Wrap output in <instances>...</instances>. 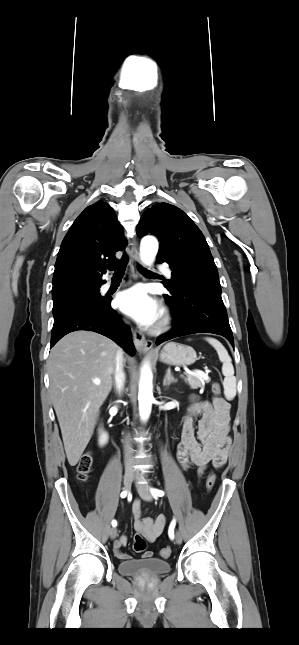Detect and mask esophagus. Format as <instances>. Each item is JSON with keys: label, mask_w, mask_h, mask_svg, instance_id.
I'll return each instance as SVG.
<instances>
[{"label": "esophagus", "mask_w": 299, "mask_h": 645, "mask_svg": "<svg viewBox=\"0 0 299 645\" xmlns=\"http://www.w3.org/2000/svg\"><path fill=\"white\" fill-rule=\"evenodd\" d=\"M139 264H140V258H139V252H138V245H137L136 239H133L132 242H131V261H130V265H131V270H132V273H133L134 277H138ZM133 337H134L135 347L139 352H147L152 348V346H153L152 341L146 340L145 336L141 332H139L138 330L134 331Z\"/></svg>", "instance_id": "obj_1"}]
</instances>
